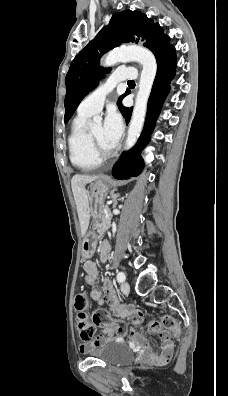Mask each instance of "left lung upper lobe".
<instances>
[{
	"mask_svg": "<svg viewBox=\"0 0 228 396\" xmlns=\"http://www.w3.org/2000/svg\"><path fill=\"white\" fill-rule=\"evenodd\" d=\"M164 34L158 23H154L145 14L138 11L125 10L114 13L108 24L84 49L74 58L66 75L67 93L65 97V123L74 114L76 108L92 90L110 68L98 66L102 54L125 42L144 41L147 47L155 39ZM118 100L119 109H122L121 100Z\"/></svg>",
	"mask_w": 228,
	"mask_h": 396,
	"instance_id": "5c2ea615",
	"label": "left lung upper lobe"
}]
</instances>
